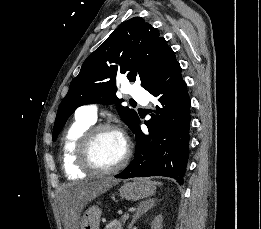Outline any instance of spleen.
Listing matches in <instances>:
<instances>
[{"label":"spleen","instance_id":"1","mask_svg":"<svg viewBox=\"0 0 261 229\" xmlns=\"http://www.w3.org/2000/svg\"><path fill=\"white\" fill-rule=\"evenodd\" d=\"M156 185H162V183H156Z\"/></svg>","mask_w":261,"mask_h":229}]
</instances>
